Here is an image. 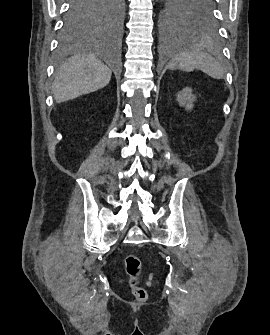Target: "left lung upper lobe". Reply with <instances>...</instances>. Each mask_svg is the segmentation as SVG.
Returning <instances> with one entry per match:
<instances>
[{"label":"left lung upper lobe","instance_id":"1","mask_svg":"<svg viewBox=\"0 0 270 335\" xmlns=\"http://www.w3.org/2000/svg\"><path fill=\"white\" fill-rule=\"evenodd\" d=\"M213 0H162L161 20L165 30L214 33L217 22Z\"/></svg>","mask_w":270,"mask_h":335}]
</instances>
